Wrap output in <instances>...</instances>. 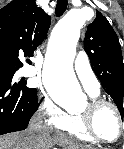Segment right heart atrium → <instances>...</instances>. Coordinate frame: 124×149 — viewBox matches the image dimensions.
I'll return each instance as SVG.
<instances>
[{
	"label": "right heart atrium",
	"instance_id": "obj_1",
	"mask_svg": "<svg viewBox=\"0 0 124 149\" xmlns=\"http://www.w3.org/2000/svg\"><path fill=\"white\" fill-rule=\"evenodd\" d=\"M39 112L48 118L49 125L60 129L69 118V115L50 99L42 101Z\"/></svg>",
	"mask_w": 124,
	"mask_h": 149
}]
</instances>
